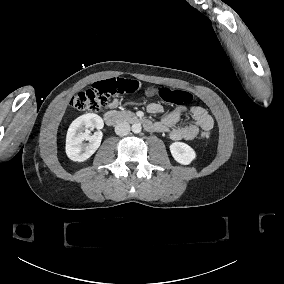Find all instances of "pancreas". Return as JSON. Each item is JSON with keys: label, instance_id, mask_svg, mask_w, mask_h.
<instances>
[{"label": "pancreas", "instance_id": "cf45deb5", "mask_svg": "<svg viewBox=\"0 0 284 284\" xmlns=\"http://www.w3.org/2000/svg\"><path fill=\"white\" fill-rule=\"evenodd\" d=\"M117 114L122 117L123 119L134 117L135 114L131 111H119Z\"/></svg>", "mask_w": 284, "mask_h": 284}]
</instances>
